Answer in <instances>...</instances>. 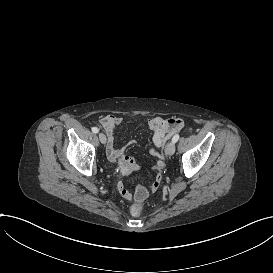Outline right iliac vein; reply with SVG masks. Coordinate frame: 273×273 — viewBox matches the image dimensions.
Returning a JSON list of instances; mask_svg holds the SVG:
<instances>
[{
	"label": "right iliac vein",
	"mask_w": 273,
	"mask_h": 273,
	"mask_svg": "<svg viewBox=\"0 0 273 273\" xmlns=\"http://www.w3.org/2000/svg\"><path fill=\"white\" fill-rule=\"evenodd\" d=\"M99 140L101 141V143L105 144L107 139L106 136L103 133H99Z\"/></svg>",
	"instance_id": "right-iliac-vein-1"
}]
</instances>
